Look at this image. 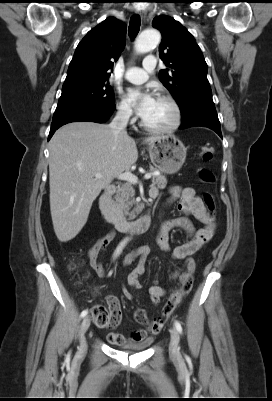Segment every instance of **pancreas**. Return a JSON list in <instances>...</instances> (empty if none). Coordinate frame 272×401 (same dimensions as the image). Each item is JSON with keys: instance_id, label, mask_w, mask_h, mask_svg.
I'll use <instances>...</instances> for the list:
<instances>
[{"instance_id": "1", "label": "pancreas", "mask_w": 272, "mask_h": 401, "mask_svg": "<svg viewBox=\"0 0 272 401\" xmlns=\"http://www.w3.org/2000/svg\"><path fill=\"white\" fill-rule=\"evenodd\" d=\"M151 171H156L155 168H150ZM152 184L159 189H164L167 185V179L164 175H152ZM115 211L120 216H128L129 219H134L141 212L140 205L135 200V190L131 183H125L118 188L114 197ZM136 205L132 211L131 207Z\"/></svg>"}]
</instances>
